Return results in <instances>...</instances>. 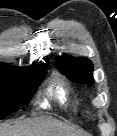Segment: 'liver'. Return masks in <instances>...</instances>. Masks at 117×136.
Masks as SVG:
<instances>
[{"mask_svg":"<svg viewBox=\"0 0 117 136\" xmlns=\"http://www.w3.org/2000/svg\"><path fill=\"white\" fill-rule=\"evenodd\" d=\"M0 136H83L71 127L45 118L28 119L0 129Z\"/></svg>","mask_w":117,"mask_h":136,"instance_id":"6515ba94","label":"liver"}]
</instances>
